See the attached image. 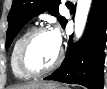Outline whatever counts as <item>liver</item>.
Listing matches in <instances>:
<instances>
[{"instance_id":"1","label":"liver","mask_w":107,"mask_h":89,"mask_svg":"<svg viewBox=\"0 0 107 89\" xmlns=\"http://www.w3.org/2000/svg\"><path fill=\"white\" fill-rule=\"evenodd\" d=\"M42 85H46V84H44V83H29V84L15 86L12 89H38Z\"/></svg>"}]
</instances>
